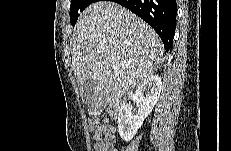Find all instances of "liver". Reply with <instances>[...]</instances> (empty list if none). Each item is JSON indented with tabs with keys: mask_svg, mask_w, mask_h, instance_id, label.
<instances>
[{
	"mask_svg": "<svg viewBox=\"0 0 231 151\" xmlns=\"http://www.w3.org/2000/svg\"><path fill=\"white\" fill-rule=\"evenodd\" d=\"M164 47L156 32L112 1H98L80 15L73 33L72 66L78 82L92 80L122 95L154 74Z\"/></svg>",
	"mask_w": 231,
	"mask_h": 151,
	"instance_id": "6515ba94",
	"label": "liver"
}]
</instances>
